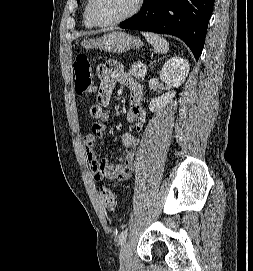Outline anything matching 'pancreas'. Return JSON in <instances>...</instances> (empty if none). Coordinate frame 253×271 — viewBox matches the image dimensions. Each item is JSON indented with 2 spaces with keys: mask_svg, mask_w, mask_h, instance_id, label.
<instances>
[{
  "mask_svg": "<svg viewBox=\"0 0 253 271\" xmlns=\"http://www.w3.org/2000/svg\"><path fill=\"white\" fill-rule=\"evenodd\" d=\"M146 72H147L146 67L144 68L139 67L138 63H134L132 67L129 69V73L140 80L144 79Z\"/></svg>",
  "mask_w": 253,
  "mask_h": 271,
  "instance_id": "cf45deb5",
  "label": "pancreas"
}]
</instances>
